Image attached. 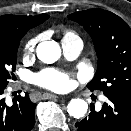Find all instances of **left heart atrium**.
Instances as JSON below:
<instances>
[{
    "instance_id": "left-heart-atrium-1",
    "label": "left heart atrium",
    "mask_w": 131,
    "mask_h": 131,
    "mask_svg": "<svg viewBox=\"0 0 131 131\" xmlns=\"http://www.w3.org/2000/svg\"><path fill=\"white\" fill-rule=\"evenodd\" d=\"M36 85L56 92H64L70 87V77L67 73L44 69L33 76Z\"/></svg>"
}]
</instances>
